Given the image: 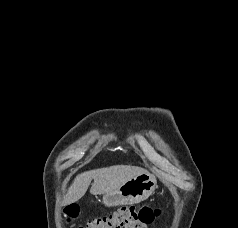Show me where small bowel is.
<instances>
[{
  "label": "small bowel",
  "instance_id": "small-bowel-1",
  "mask_svg": "<svg viewBox=\"0 0 238 228\" xmlns=\"http://www.w3.org/2000/svg\"><path fill=\"white\" fill-rule=\"evenodd\" d=\"M135 228H148L147 225L139 224Z\"/></svg>",
  "mask_w": 238,
  "mask_h": 228
}]
</instances>
